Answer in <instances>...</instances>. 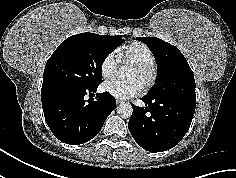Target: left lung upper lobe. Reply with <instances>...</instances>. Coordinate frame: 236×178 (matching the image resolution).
Returning a JSON list of instances; mask_svg holds the SVG:
<instances>
[{
    "label": "left lung upper lobe",
    "instance_id": "5c2ea615",
    "mask_svg": "<svg viewBox=\"0 0 236 178\" xmlns=\"http://www.w3.org/2000/svg\"><path fill=\"white\" fill-rule=\"evenodd\" d=\"M138 39L148 45L158 64L156 85L146 96L196 101L194 75L179 49L157 37Z\"/></svg>",
    "mask_w": 236,
    "mask_h": 178
}]
</instances>
